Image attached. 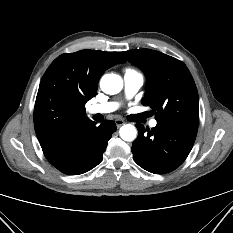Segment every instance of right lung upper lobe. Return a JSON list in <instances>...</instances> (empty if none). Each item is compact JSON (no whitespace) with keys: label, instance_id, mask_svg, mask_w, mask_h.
Wrapping results in <instances>:
<instances>
[{"label":"right lung upper lobe","instance_id":"cb5924a9","mask_svg":"<svg viewBox=\"0 0 233 233\" xmlns=\"http://www.w3.org/2000/svg\"><path fill=\"white\" fill-rule=\"evenodd\" d=\"M125 61L119 52L81 50L62 54L51 63L34 108V127L42 149L63 143L93 122L86 117V102L96 95L105 70Z\"/></svg>","mask_w":233,"mask_h":233}]
</instances>
